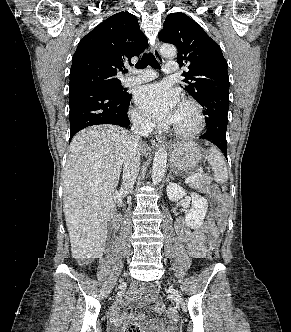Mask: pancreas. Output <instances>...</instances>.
Segmentation results:
<instances>
[{"mask_svg":"<svg viewBox=\"0 0 291 332\" xmlns=\"http://www.w3.org/2000/svg\"><path fill=\"white\" fill-rule=\"evenodd\" d=\"M211 184V178L209 176L201 175L196 178L192 183H190V187L198 190H204V188Z\"/></svg>","mask_w":291,"mask_h":332,"instance_id":"1","label":"pancreas"}]
</instances>
